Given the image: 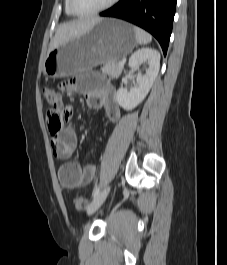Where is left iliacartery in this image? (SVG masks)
<instances>
[{
	"mask_svg": "<svg viewBox=\"0 0 227 265\" xmlns=\"http://www.w3.org/2000/svg\"><path fill=\"white\" fill-rule=\"evenodd\" d=\"M99 194V187H96L93 191V198H95Z\"/></svg>",
	"mask_w": 227,
	"mask_h": 265,
	"instance_id": "44dca946",
	"label": "left iliac artery"
}]
</instances>
